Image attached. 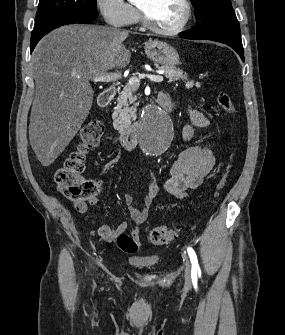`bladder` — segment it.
I'll use <instances>...</instances> for the list:
<instances>
[{
    "label": "bladder",
    "instance_id": "bladder-1",
    "mask_svg": "<svg viewBox=\"0 0 285 335\" xmlns=\"http://www.w3.org/2000/svg\"><path fill=\"white\" fill-rule=\"evenodd\" d=\"M127 265H136L138 267L153 268L158 265V258H127Z\"/></svg>",
    "mask_w": 285,
    "mask_h": 335
}]
</instances>
